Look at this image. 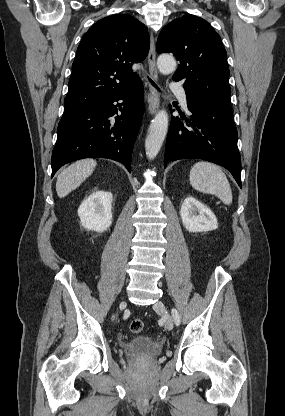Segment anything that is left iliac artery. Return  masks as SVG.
I'll list each match as a JSON object with an SVG mask.
<instances>
[{
    "instance_id": "obj_1",
    "label": "left iliac artery",
    "mask_w": 285,
    "mask_h": 416,
    "mask_svg": "<svg viewBox=\"0 0 285 416\" xmlns=\"http://www.w3.org/2000/svg\"><path fill=\"white\" fill-rule=\"evenodd\" d=\"M172 316H173L175 324L178 326L180 324V316H179L178 311L175 308L172 309Z\"/></svg>"
}]
</instances>
